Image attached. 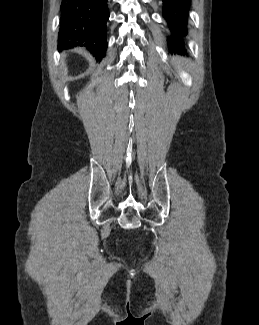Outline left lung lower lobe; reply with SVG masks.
I'll list each match as a JSON object with an SVG mask.
<instances>
[{
	"label": "left lung lower lobe",
	"mask_w": 259,
	"mask_h": 325,
	"mask_svg": "<svg viewBox=\"0 0 259 325\" xmlns=\"http://www.w3.org/2000/svg\"><path fill=\"white\" fill-rule=\"evenodd\" d=\"M163 17L167 22V28L170 31L167 36L171 48H179L184 37L188 34V13L190 10V0H162Z\"/></svg>",
	"instance_id": "0a47b994"
}]
</instances>
